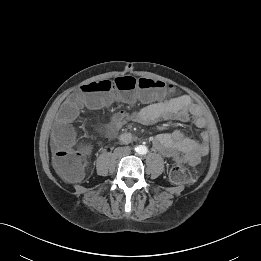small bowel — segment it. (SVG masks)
Listing matches in <instances>:
<instances>
[{
	"label": "small bowel",
	"mask_w": 261,
	"mask_h": 261,
	"mask_svg": "<svg viewBox=\"0 0 261 261\" xmlns=\"http://www.w3.org/2000/svg\"><path fill=\"white\" fill-rule=\"evenodd\" d=\"M112 98L113 96H107L106 104ZM163 120L191 122L197 128L202 129L199 138H193L178 129L170 133L158 134L153 139L155 148L163 155L174 159L182 157L192 165L198 164L209 151L207 120L202 108L186 95H177L148 103L133 112H116L110 117L106 130L109 134L115 135L129 122L154 125Z\"/></svg>",
	"instance_id": "obj_1"
}]
</instances>
